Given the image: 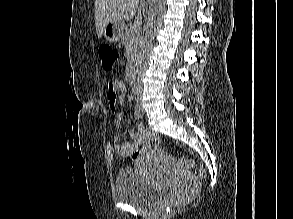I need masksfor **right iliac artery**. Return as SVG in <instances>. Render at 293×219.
Returning a JSON list of instances; mask_svg holds the SVG:
<instances>
[{
    "instance_id": "82829eb1",
    "label": "right iliac artery",
    "mask_w": 293,
    "mask_h": 219,
    "mask_svg": "<svg viewBox=\"0 0 293 219\" xmlns=\"http://www.w3.org/2000/svg\"><path fill=\"white\" fill-rule=\"evenodd\" d=\"M134 116H135L136 119H140L142 117L140 110H136L134 112Z\"/></svg>"
}]
</instances>
